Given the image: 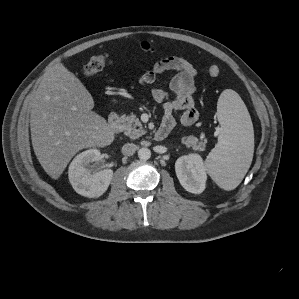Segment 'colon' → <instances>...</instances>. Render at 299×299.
Listing matches in <instances>:
<instances>
[{
  "instance_id": "5ec220e1",
  "label": "colon",
  "mask_w": 299,
  "mask_h": 299,
  "mask_svg": "<svg viewBox=\"0 0 299 299\" xmlns=\"http://www.w3.org/2000/svg\"><path fill=\"white\" fill-rule=\"evenodd\" d=\"M141 48L145 53H153L154 48L147 42L142 43ZM112 62L109 55H96L91 57L88 62L83 67V74L86 77H91L100 72L105 66L109 65ZM208 74L211 77H216L220 73V69L217 65L212 64L207 69Z\"/></svg>"
}]
</instances>
